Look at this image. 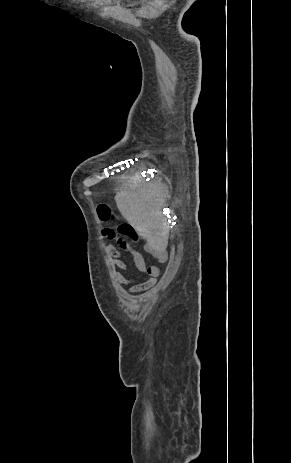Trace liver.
Here are the masks:
<instances>
[{
  "label": "liver",
  "instance_id": "liver-1",
  "mask_svg": "<svg viewBox=\"0 0 291 463\" xmlns=\"http://www.w3.org/2000/svg\"><path fill=\"white\" fill-rule=\"evenodd\" d=\"M163 191L158 184H146L132 177L115 196L122 216L146 239V250L153 256L166 251L169 228L161 213Z\"/></svg>",
  "mask_w": 291,
  "mask_h": 463
}]
</instances>
